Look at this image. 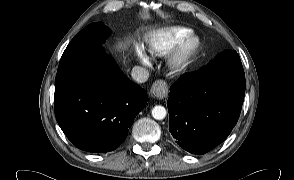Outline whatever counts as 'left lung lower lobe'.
<instances>
[{
    "label": "left lung lower lobe",
    "mask_w": 294,
    "mask_h": 180,
    "mask_svg": "<svg viewBox=\"0 0 294 180\" xmlns=\"http://www.w3.org/2000/svg\"><path fill=\"white\" fill-rule=\"evenodd\" d=\"M245 95L241 64H211L182 75L170 88L169 131L179 146L205 154L236 125Z\"/></svg>",
    "instance_id": "0a47b994"
}]
</instances>
